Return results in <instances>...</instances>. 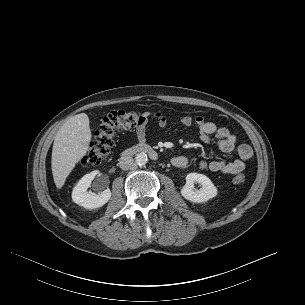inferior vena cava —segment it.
Wrapping results in <instances>:
<instances>
[{
  "mask_svg": "<svg viewBox=\"0 0 305 305\" xmlns=\"http://www.w3.org/2000/svg\"><path fill=\"white\" fill-rule=\"evenodd\" d=\"M134 159L131 156H122L119 159V166L122 170H128L132 167Z\"/></svg>",
  "mask_w": 305,
  "mask_h": 305,
  "instance_id": "inferior-vena-cava-1",
  "label": "inferior vena cava"
}]
</instances>
